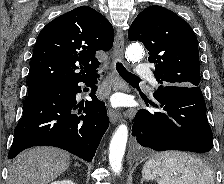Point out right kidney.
Segmentation results:
<instances>
[{
	"mask_svg": "<svg viewBox=\"0 0 224 184\" xmlns=\"http://www.w3.org/2000/svg\"><path fill=\"white\" fill-rule=\"evenodd\" d=\"M51 184H75V183L71 180H63V181H55L52 182Z\"/></svg>",
	"mask_w": 224,
	"mask_h": 184,
	"instance_id": "1",
	"label": "right kidney"
}]
</instances>
